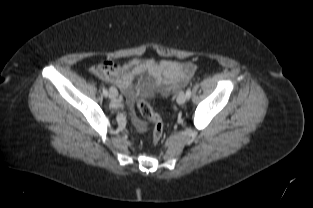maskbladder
<instances>
[{
    "label": "bladder",
    "mask_w": 313,
    "mask_h": 208,
    "mask_svg": "<svg viewBox=\"0 0 313 208\" xmlns=\"http://www.w3.org/2000/svg\"><path fill=\"white\" fill-rule=\"evenodd\" d=\"M160 87L151 79H146L139 90V96L143 100L160 93Z\"/></svg>",
    "instance_id": "obj_1"
}]
</instances>
